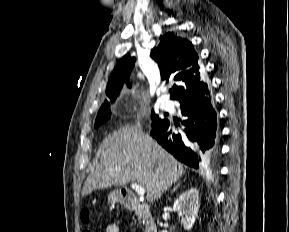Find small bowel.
I'll list each match as a JSON object with an SVG mask.
<instances>
[{
	"label": "small bowel",
	"instance_id": "obj_1",
	"mask_svg": "<svg viewBox=\"0 0 289 232\" xmlns=\"http://www.w3.org/2000/svg\"><path fill=\"white\" fill-rule=\"evenodd\" d=\"M106 232H119L117 225L111 224L106 228Z\"/></svg>",
	"mask_w": 289,
	"mask_h": 232
}]
</instances>
